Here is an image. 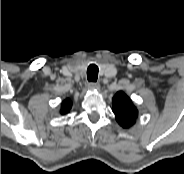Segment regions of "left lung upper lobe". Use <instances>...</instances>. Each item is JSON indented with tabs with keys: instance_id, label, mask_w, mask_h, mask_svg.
<instances>
[{
	"instance_id": "5c2ea615",
	"label": "left lung upper lobe",
	"mask_w": 184,
	"mask_h": 174,
	"mask_svg": "<svg viewBox=\"0 0 184 174\" xmlns=\"http://www.w3.org/2000/svg\"><path fill=\"white\" fill-rule=\"evenodd\" d=\"M112 105L116 120L123 128H129L136 122L138 110L130 97L123 91H118L115 94Z\"/></svg>"
}]
</instances>
